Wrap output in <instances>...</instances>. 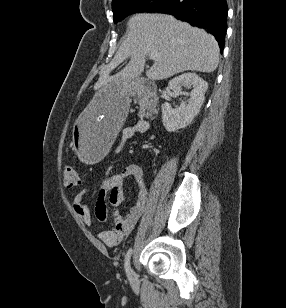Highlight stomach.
<instances>
[{
    "mask_svg": "<svg viewBox=\"0 0 286 308\" xmlns=\"http://www.w3.org/2000/svg\"><path fill=\"white\" fill-rule=\"evenodd\" d=\"M131 83L119 81L102 85L89 97L87 109H81L73 122V149L81 165H96L103 161L106 149H112L113 137L123 124L130 107Z\"/></svg>",
    "mask_w": 286,
    "mask_h": 308,
    "instance_id": "stomach-1",
    "label": "stomach"
}]
</instances>
